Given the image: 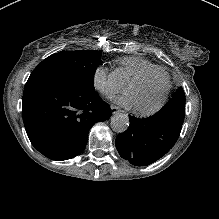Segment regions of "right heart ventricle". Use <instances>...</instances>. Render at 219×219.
<instances>
[{
	"instance_id": "right-heart-ventricle-1",
	"label": "right heart ventricle",
	"mask_w": 219,
	"mask_h": 219,
	"mask_svg": "<svg viewBox=\"0 0 219 219\" xmlns=\"http://www.w3.org/2000/svg\"><path fill=\"white\" fill-rule=\"evenodd\" d=\"M122 66L120 77L127 85H131L154 65L150 61L140 57H129L122 61Z\"/></svg>"
}]
</instances>
